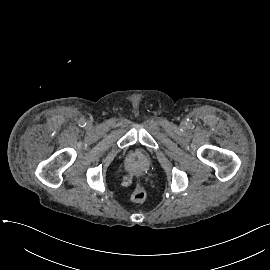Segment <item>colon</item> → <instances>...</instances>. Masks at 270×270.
Wrapping results in <instances>:
<instances>
[{"instance_id":"colon-1","label":"colon","mask_w":270,"mask_h":270,"mask_svg":"<svg viewBox=\"0 0 270 270\" xmlns=\"http://www.w3.org/2000/svg\"><path fill=\"white\" fill-rule=\"evenodd\" d=\"M146 197L147 189L142 183H139L131 194V201L134 203H140L144 201Z\"/></svg>"}]
</instances>
